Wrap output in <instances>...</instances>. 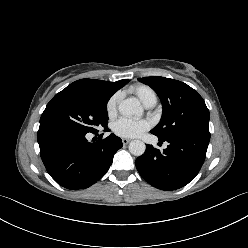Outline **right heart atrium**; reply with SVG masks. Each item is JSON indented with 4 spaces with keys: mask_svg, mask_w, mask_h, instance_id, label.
I'll list each match as a JSON object with an SVG mask.
<instances>
[{
    "mask_svg": "<svg viewBox=\"0 0 248 248\" xmlns=\"http://www.w3.org/2000/svg\"><path fill=\"white\" fill-rule=\"evenodd\" d=\"M120 99V94H113L106 103V113L109 117H114L117 112V106Z\"/></svg>",
    "mask_w": 248,
    "mask_h": 248,
    "instance_id": "1",
    "label": "right heart atrium"
}]
</instances>
